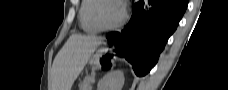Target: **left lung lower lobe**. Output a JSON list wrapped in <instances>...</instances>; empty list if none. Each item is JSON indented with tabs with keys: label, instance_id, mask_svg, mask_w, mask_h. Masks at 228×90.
<instances>
[{
	"label": "left lung lower lobe",
	"instance_id": "0a47b994",
	"mask_svg": "<svg viewBox=\"0 0 228 90\" xmlns=\"http://www.w3.org/2000/svg\"><path fill=\"white\" fill-rule=\"evenodd\" d=\"M148 5L151 11L146 12ZM188 0H137L129 23L121 32L107 34L115 52L132 65L137 76L146 75L157 63L159 53L176 30Z\"/></svg>",
	"mask_w": 228,
	"mask_h": 90
}]
</instances>
